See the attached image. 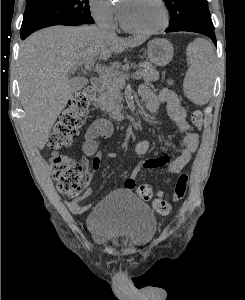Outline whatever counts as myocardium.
<instances>
[{"instance_id":"myocardium-1","label":"myocardium","mask_w":245,"mask_h":300,"mask_svg":"<svg viewBox=\"0 0 245 300\" xmlns=\"http://www.w3.org/2000/svg\"><path fill=\"white\" fill-rule=\"evenodd\" d=\"M158 2L161 5V7L163 9V13H164V20L159 26H157L155 28H151V29H139L136 27H132L125 22L123 15L120 11L119 22H120L121 27L130 33L139 34V35H152V34H155V33H158L160 31L164 30L169 24L170 13H169V9H168V6H167L165 0H158Z\"/></svg>"}]
</instances>
